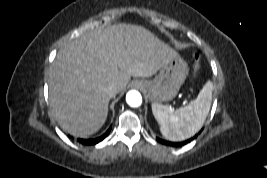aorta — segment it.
<instances>
[{"label": "aorta", "mask_w": 267, "mask_h": 178, "mask_svg": "<svg viewBox=\"0 0 267 178\" xmlns=\"http://www.w3.org/2000/svg\"><path fill=\"white\" fill-rule=\"evenodd\" d=\"M126 102L131 107H139L142 104V96L136 90H131L126 94Z\"/></svg>", "instance_id": "aorta-1"}]
</instances>
